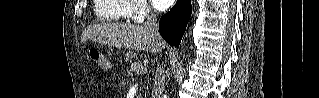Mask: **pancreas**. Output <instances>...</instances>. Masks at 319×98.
I'll list each match as a JSON object with an SVG mask.
<instances>
[{"label": "pancreas", "instance_id": "cf45deb5", "mask_svg": "<svg viewBox=\"0 0 319 98\" xmlns=\"http://www.w3.org/2000/svg\"><path fill=\"white\" fill-rule=\"evenodd\" d=\"M125 58H126V60H129L130 62H132V61H134V60H136V59L138 58V55H137L136 53L129 52V53H126V54H125ZM138 65H139V64H138ZM131 71H132V70H131ZM144 71H145V69L142 68V67L139 65V70L136 71V72L142 73V72H144ZM133 72H135V71H133Z\"/></svg>", "mask_w": 319, "mask_h": 98}]
</instances>
